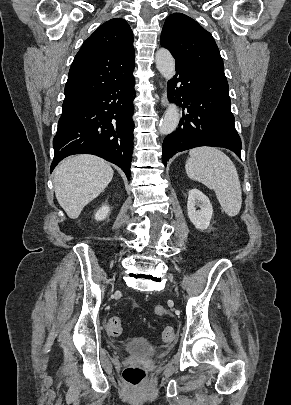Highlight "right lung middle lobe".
<instances>
[{"mask_svg": "<svg viewBox=\"0 0 291 405\" xmlns=\"http://www.w3.org/2000/svg\"><path fill=\"white\" fill-rule=\"evenodd\" d=\"M75 105L76 104H63L62 114H65L68 111H70L71 109H73L75 107Z\"/></svg>", "mask_w": 291, "mask_h": 405, "instance_id": "1", "label": "right lung middle lobe"}]
</instances>
